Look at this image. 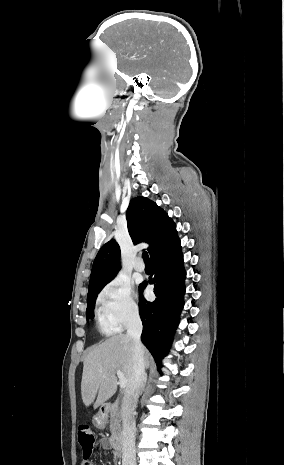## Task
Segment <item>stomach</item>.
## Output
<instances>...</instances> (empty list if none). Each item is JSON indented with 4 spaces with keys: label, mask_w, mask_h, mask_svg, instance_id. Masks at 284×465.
Masks as SVG:
<instances>
[{
    "label": "stomach",
    "mask_w": 284,
    "mask_h": 465,
    "mask_svg": "<svg viewBox=\"0 0 284 465\" xmlns=\"http://www.w3.org/2000/svg\"><path fill=\"white\" fill-rule=\"evenodd\" d=\"M92 423L94 427H97V429H105L107 419L103 413H97V415H94Z\"/></svg>",
    "instance_id": "1"
}]
</instances>
